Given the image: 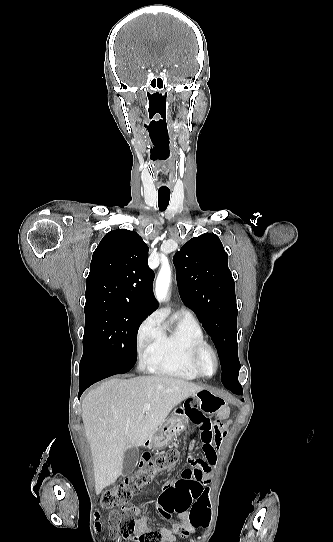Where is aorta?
<instances>
[{
    "mask_svg": "<svg viewBox=\"0 0 333 542\" xmlns=\"http://www.w3.org/2000/svg\"><path fill=\"white\" fill-rule=\"evenodd\" d=\"M170 282V268H162L158 274L155 286V298L158 302H164Z\"/></svg>",
    "mask_w": 333,
    "mask_h": 542,
    "instance_id": "1",
    "label": "aorta"
}]
</instances>
